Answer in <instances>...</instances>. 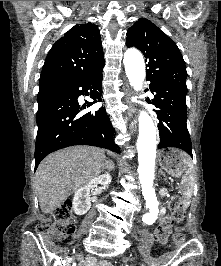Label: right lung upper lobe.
<instances>
[{
	"instance_id": "1",
	"label": "right lung upper lobe",
	"mask_w": 221,
	"mask_h": 266,
	"mask_svg": "<svg viewBox=\"0 0 221 266\" xmlns=\"http://www.w3.org/2000/svg\"><path fill=\"white\" fill-rule=\"evenodd\" d=\"M101 67L104 57L100 31L91 22L77 24L52 46L39 87H66Z\"/></svg>"
}]
</instances>
